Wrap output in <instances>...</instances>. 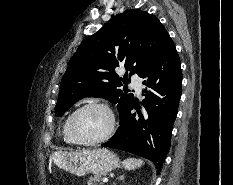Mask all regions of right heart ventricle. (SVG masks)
<instances>
[{
  "mask_svg": "<svg viewBox=\"0 0 233 185\" xmlns=\"http://www.w3.org/2000/svg\"><path fill=\"white\" fill-rule=\"evenodd\" d=\"M72 112H70L66 118L64 119L63 126H62V136L64 142L67 144L73 145L76 144V142L70 137L69 132H68V120Z\"/></svg>",
  "mask_w": 233,
  "mask_h": 185,
  "instance_id": "obj_1",
  "label": "right heart ventricle"
}]
</instances>
